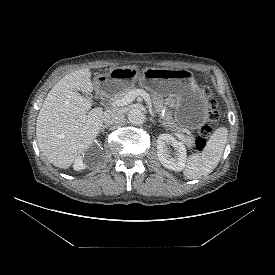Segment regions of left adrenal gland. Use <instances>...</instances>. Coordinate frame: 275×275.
<instances>
[{"mask_svg":"<svg viewBox=\"0 0 275 275\" xmlns=\"http://www.w3.org/2000/svg\"><path fill=\"white\" fill-rule=\"evenodd\" d=\"M150 120H151V122L155 123V120H153V118H152V117H150Z\"/></svg>","mask_w":275,"mask_h":275,"instance_id":"left-adrenal-gland-1","label":"left adrenal gland"}]
</instances>
